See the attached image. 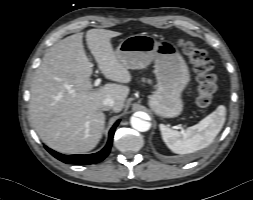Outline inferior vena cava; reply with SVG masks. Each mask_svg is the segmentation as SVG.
I'll use <instances>...</instances> for the list:
<instances>
[{
	"mask_svg": "<svg viewBox=\"0 0 253 200\" xmlns=\"http://www.w3.org/2000/svg\"><path fill=\"white\" fill-rule=\"evenodd\" d=\"M114 106H115V101L112 98H106L103 101V108L102 109L104 111H107V110L112 109Z\"/></svg>",
	"mask_w": 253,
	"mask_h": 200,
	"instance_id": "obj_1",
	"label": "inferior vena cava"
}]
</instances>
